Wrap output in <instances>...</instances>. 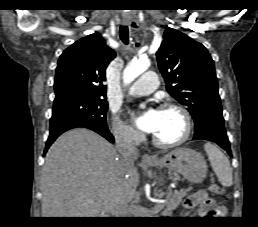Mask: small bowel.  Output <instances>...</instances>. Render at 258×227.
I'll return each mask as SVG.
<instances>
[{
  "label": "small bowel",
  "instance_id": "obj_1",
  "mask_svg": "<svg viewBox=\"0 0 258 227\" xmlns=\"http://www.w3.org/2000/svg\"><path fill=\"white\" fill-rule=\"evenodd\" d=\"M200 205L198 215L200 217H208L212 213L223 215L226 213V208L223 205L217 204L206 191H198L190 195L184 202L185 208Z\"/></svg>",
  "mask_w": 258,
  "mask_h": 227
}]
</instances>
